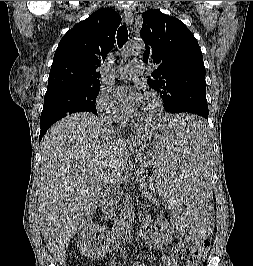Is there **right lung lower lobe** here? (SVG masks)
<instances>
[{
    "label": "right lung lower lobe",
    "mask_w": 253,
    "mask_h": 266,
    "mask_svg": "<svg viewBox=\"0 0 253 266\" xmlns=\"http://www.w3.org/2000/svg\"><path fill=\"white\" fill-rule=\"evenodd\" d=\"M48 128L49 127H43V128H41L40 136H39V142L42 139V137L44 136V134L46 133V131L48 130Z\"/></svg>",
    "instance_id": "right-lung-lower-lobe-1"
}]
</instances>
